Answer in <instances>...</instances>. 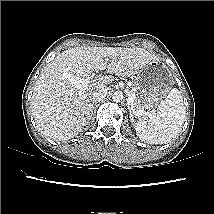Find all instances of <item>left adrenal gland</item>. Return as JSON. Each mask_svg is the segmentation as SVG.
I'll use <instances>...</instances> for the list:
<instances>
[{
  "mask_svg": "<svg viewBox=\"0 0 214 214\" xmlns=\"http://www.w3.org/2000/svg\"><path fill=\"white\" fill-rule=\"evenodd\" d=\"M128 110H129V114H130V119L133 120V115H132L130 106H128Z\"/></svg>",
  "mask_w": 214,
  "mask_h": 214,
  "instance_id": "obj_1",
  "label": "left adrenal gland"
}]
</instances>
